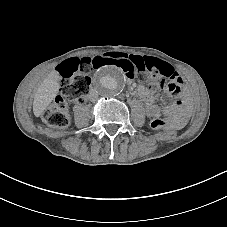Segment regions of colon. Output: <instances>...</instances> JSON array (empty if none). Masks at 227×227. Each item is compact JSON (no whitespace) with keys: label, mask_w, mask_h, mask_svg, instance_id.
<instances>
[{"label":"colon","mask_w":227,"mask_h":227,"mask_svg":"<svg viewBox=\"0 0 227 227\" xmlns=\"http://www.w3.org/2000/svg\"><path fill=\"white\" fill-rule=\"evenodd\" d=\"M114 65L120 68L128 78L147 79L150 89L163 90L171 94L178 93L183 82L174 68L167 62L149 56H131L120 52H111L96 57L72 58L64 61L59 69L60 95L44 111L43 121L51 128L64 129L71 118L68 101L84 103L90 86L89 73L93 68ZM154 129H168L171 126L167 118L151 121Z\"/></svg>","instance_id":"1"}]
</instances>
